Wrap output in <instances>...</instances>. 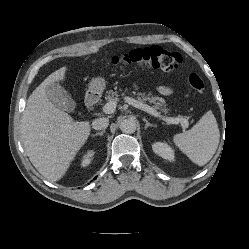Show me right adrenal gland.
I'll use <instances>...</instances> for the list:
<instances>
[{"label": "right adrenal gland", "instance_id": "obj_1", "mask_svg": "<svg viewBox=\"0 0 249 249\" xmlns=\"http://www.w3.org/2000/svg\"><path fill=\"white\" fill-rule=\"evenodd\" d=\"M104 133H105V130H102L101 132H98V133H96V134H94L92 136L93 137L98 136V135L102 136Z\"/></svg>", "mask_w": 249, "mask_h": 249}]
</instances>
